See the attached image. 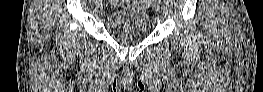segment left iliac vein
I'll list each match as a JSON object with an SVG mask.
<instances>
[{
	"label": "left iliac vein",
	"mask_w": 263,
	"mask_h": 92,
	"mask_svg": "<svg viewBox=\"0 0 263 92\" xmlns=\"http://www.w3.org/2000/svg\"><path fill=\"white\" fill-rule=\"evenodd\" d=\"M160 3H161V0H158V3L155 4L156 13H161Z\"/></svg>",
	"instance_id": "4c4485c4"
}]
</instances>
